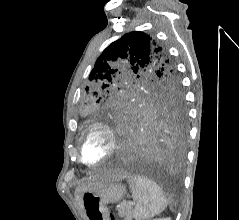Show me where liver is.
<instances>
[{
    "label": "liver",
    "instance_id": "liver-1",
    "mask_svg": "<svg viewBox=\"0 0 239 220\" xmlns=\"http://www.w3.org/2000/svg\"><path fill=\"white\" fill-rule=\"evenodd\" d=\"M125 172L122 170H115L112 172H108L107 174L99 175L97 177H93L87 182L81 184L76 189V200L78 204L82 207V195L88 190L93 188L101 187L107 183L113 181H120L125 177Z\"/></svg>",
    "mask_w": 239,
    "mask_h": 220
}]
</instances>
